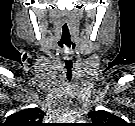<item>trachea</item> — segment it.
I'll return each mask as SVG.
<instances>
[{
	"label": "trachea",
	"instance_id": "3493384b",
	"mask_svg": "<svg viewBox=\"0 0 135 126\" xmlns=\"http://www.w3.org/2000/svg\"><path fill=\"white\" fill-rule=\"evenodd\" d=\"M72 61L71 60H65V68L67 69V78L68 80H71L72 77Z\"/></svg>",
	"mask_w": 135,
	"mask_h": 126
}]
</instances>
